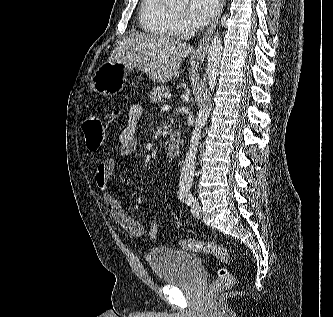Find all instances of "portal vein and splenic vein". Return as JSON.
<instances>
[{"label":"portal vein and splenic vein","mask_w":333,"mask_h":317,"mask_svg":"<svg viewBox=\"0 0 333 317\" xmlns=\"http://www.w3.org/2000/svg\"><path fill=\"white\" fill-rule=\"evenodd\" d=\"M170 108H171V107H170V105H168V104H165V105L162 106V110H163V111H168V110H170Z\"/></svg>","instance_id":"18ae733b"}]
</instances>
